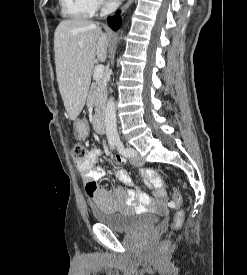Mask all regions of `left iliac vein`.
<instances>
[{
    "instance_id": "1",
    "label": "left iliac vein",
    "mask_w": 247,
    "mask_h": 275,
    "mask_svg": "<svg viewBox=\"0 0 247 275\" xmlns=\"http://www.w3.org/2000/svg\"><path fill=\"white\" fill-rule=\"evenodd\" d=\"M134 151V156L131 158V163L135 166H142L144 164V161L142 160V158L139 156L138 152L131 148Z\"/></svg>"
}]
</instances>
